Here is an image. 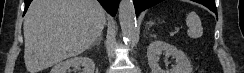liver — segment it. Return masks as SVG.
<instances>
[{"label": "liver", "mask_w": 244, "mask_h": 73, "mask_svg": "<svg viewBox=\"0 0 244 73\" xmlns=\"http://www.w3.org/2000/svg\"><path fill=\"white\" fill-rule=\"evenodd\" d=\"M105 22L96 0H33L23 25L27 71L39 73L83 53L102 35Z\"/></svg>", "instance_id": "1"}]
</instances>
